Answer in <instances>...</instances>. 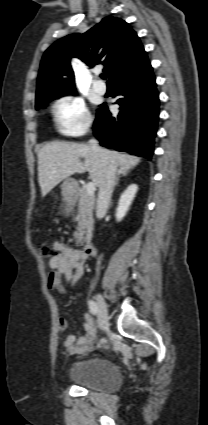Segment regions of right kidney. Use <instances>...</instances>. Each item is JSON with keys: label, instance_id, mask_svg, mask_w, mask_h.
<instances>
[{"label": "right kidney", "instance_id": "1", "mask_svg": "<svg viewBox=\"0 0 208 425\" xmlns=\"http://www.w3.org/2000/svg\"><path fill=\"white\" fill-rule=\"evenodd\" d=\"M137 190H138V186L136 184H131L121 194L119 202H118V206L116 208V214H115L117 221H121L122 218L126 215L135 197Z\"/></svg>", "mask_w": 208, "mask_h": 425}]
</instances>
